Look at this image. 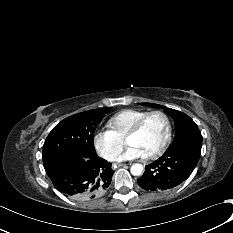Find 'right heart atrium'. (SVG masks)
I'll return each mask as SVG.
<instances>
[{"label": "right heart atrium", "mask_w": 233, "mask_h": 233, "mask_svg": "<svg viewBox=\"0 0 233 233\" xmlns=\"http://www.w3.org/2000/svg\"><path fill=\"white\" fill-rule=\"evenodd\" d=\"M93 144L97 152L105 159L114 161L120 155L124 142L111 130L98 131L93 136Z\"/></svg>", "instance_id": "obj_1"}]
</instances>
